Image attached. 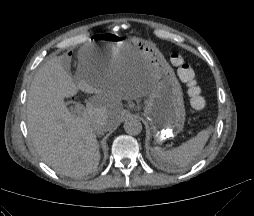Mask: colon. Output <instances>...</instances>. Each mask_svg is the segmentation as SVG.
Masks as SVG:
<instances>
[{
  "label": "colon",
  "instance_id": "colon-1",
  "mask_svg": "<svg viewBox=\"0 0 254 216\" xmlns=\"http://www.w3.org/2000/svg\"><path fill=\"white\" fill-rule=\"evenodd\" d=\"M173 66L177 68L179 79L185 83L193 108L200 110L205 106L202 90L196 82L195 71L187 64L183 57L178 53H173L170 57Z\"/></svg>",
  "mask_w": 254,
  "mask_h": 216
}]
</instances>
